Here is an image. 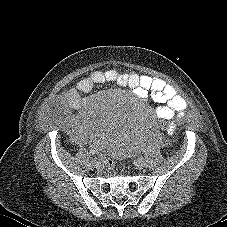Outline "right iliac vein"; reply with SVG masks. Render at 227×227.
Returning <instances> with one entry per match:
<instances>
[{
    "instance_id": "1",
    "label": "right iliac vein",
    "mask_w": 227,
    "mask_h": 227,
    "mask_svg": "<svg viewBox=\"0 0 227 227\" xmlns=\"http://www.w3.org/2000/svg\"><path fill=\"white\" fill-rule=\"evenodd\" d=\"M94 166L96 168H100L101 167V161H99V160L94 161Z\"/></svg>"
}]
</instances>
